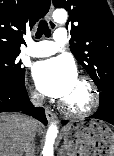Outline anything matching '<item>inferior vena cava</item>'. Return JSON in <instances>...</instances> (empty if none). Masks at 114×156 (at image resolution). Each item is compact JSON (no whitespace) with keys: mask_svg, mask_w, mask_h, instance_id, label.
<instances>
[{"mask_svg":"<svg viewBox=\"0 0 114 156\" xmlns=\"http://www.w3.org/2000/svg\"><path fill=\"white\" fill-rule=\"evenodd\" d=\"M31 102L33 105L35 106H42L43 104V100H44V96L39 94V93H33L31 94ZM34 151H35V145L32 142L31 144H29L26 149H25V156H34Z\"/></svg>","mask_w":114,"mask_h":156,"instance_id":"inferior-vena-cava-1","label":"inferior vena cava"}]
</instances>
